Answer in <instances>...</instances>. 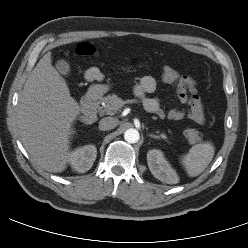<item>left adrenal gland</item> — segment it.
Here are the masks:
<instances>
[{
    "label": "left adrenal gland",
    "mask_w": 248,
    "mask_h": 248,
    "mask_svg": "<svg viewBox=\"0 0 248 248\" xmlns=\"http://www.w3.org/2000/svg\"><path fill=\"white\" fill-rule=\"evenodd\" d=\"M148 136L151 137V138H155V139H159L160 138L159 136L154 135V134H149Z\"/></svg>",
    "instance_id": "left-adrenal-gland-1"
}]
</instances>
